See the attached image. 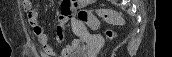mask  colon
<instances>
[{"label":"colon","instance_id":"1","mask_svg":"<svg viewBox=\"0 0 172 57\" xmlns=\"http://www.w3.org/2000/svg\"><path fill=\"white\" fill-rule=\"evenodd\" d=\"M70 16L76 17L79 21L86 23L91 29H97L99 27V19L102 18L110 24H120V17L117 12L110 9H98L94 12L86 9H78L77 11H69ZM109 38L113 37L112 31H107Z\"/></svg>","mask_w":172,"mask_h":57}]
</instances>
